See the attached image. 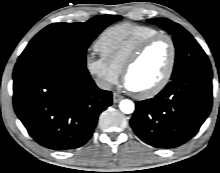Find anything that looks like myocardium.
Segmentation results:
<instances>
[{
	"instance_id": "obj_1",
	"label": "myocardium",
	"mask_w": 220,
	"mask_h": 173,
	"mask_svg": "<svg viewBox=\"0 0 220 173\" xmlns=\"http://www.w3.org/2000/svg\"><path fill=\"white\" fill-rule=\"evenodd\" d=\"M160 39H166L170 45V60H169L168 67L163 77L158 81L157 84H155L151 88L145 91H142V92L134 91L129 88L131 94L138 99L152 98L156 96L157 94H159L168 85L173 75L175 65H176V59H177V50H176V45H175L173 38L166 33H158L145 39L133 50V52L128 57V59L126 60L122 68V80L126 84V77L129 71L131 70V68L141 58V56L148 49V47Z\"/></svg>"
}]
</instances>
